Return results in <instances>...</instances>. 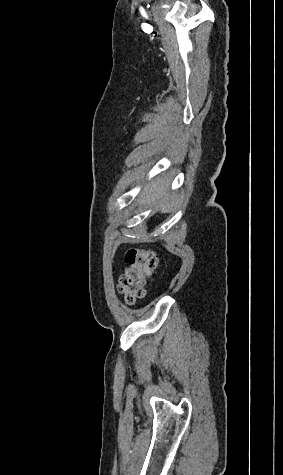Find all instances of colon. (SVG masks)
Returning a JSON list of instances; mask_svg holds the SVG:
<instances>
[{
	"label": "colon",
	"instance_id": "colon-1",
	"mask_svg": "<svg viewBox=\"0 0 283 475\" xmlns=\"http://www.w3.org/2000/svg\"><path fill=\"white\" fill-rule=\"evenodd\" d=\"M130 268L119 277L118 289L125 294L128 305H135L145 294V285L159 266L154 248L136 247L127 253Z\"/></svg>",
	"mask_w": 283,
	"mask_h": 475
}]
</instances>
